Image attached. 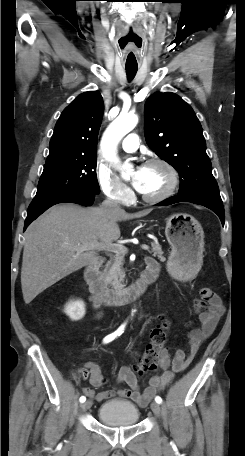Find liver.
<instances>
[{
	"label": "liver",
	"instance_id": "6515ba94",
	"mask_svg": "<svg viewBox=\"0 0 245 456\" xmlns=\"http://www.w3.org/2000/svg\"><path fill=\"white\" fill-rule=\"evenodd\" d=\"M151 209L127 213L120 208H82L73 204L51 207L25 234L21 287L29 304L37 295L96 258L95 241L112 244L120 237L118 221L148 215Z\"/></svg>",
	"mask_w": 245,
	"mask_h": 456
}]
</instances>
